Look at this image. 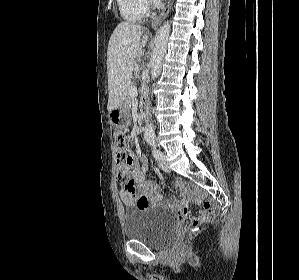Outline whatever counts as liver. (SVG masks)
<instances>
[{
    "instance_id": "obj_1",
    "label": "liver",
    "mask_w": 299,
    "mask_h": 280,
    "mask_svg": "<svg viewBox=\"0 0 299 280\" xmlns=\"http://www.w3.org/2000/svg\"><path fill=\"white\" fill-rule=\"evenodd\" d=\"M141 25L122 22L113 31L107 49L109 98L107 109L111 112L120 106L128 94L133 64L148 36Z\"/></svg>"
}]
</instances>
